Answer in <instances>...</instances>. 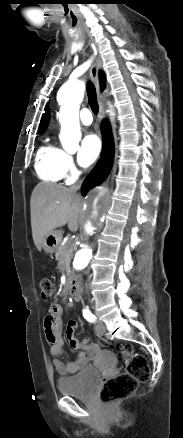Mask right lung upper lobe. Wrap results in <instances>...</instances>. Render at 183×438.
Wrapping results in <instances>:
<instances>
[{
	"label": "right lung upper lobe",
	"instance_id": "right-lung-upper-lobe-1",
	"mask_svg": "<svg viewBox=\"0 0 183 438\" xmlns=\"http://www.w3.org/2000/svg\"><path fill=\"white\" fill-rule=\"evenodd\" d=\"M100 83H101V88H104L105 78H104V75L102 73H100ZM48 121H49V111H48V107L46 106L45 113L43 114L42 119H41V123L39 125L40 131H43L44 129H46Z\"/></svg>",
	"mask_w": 183,
	"mask_h": 438
}]
</instances>
